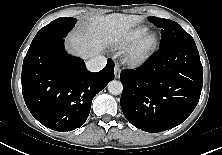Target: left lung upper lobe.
Masks as SVG:
<instances>
[{"label": "left lung upper lobe", "mask_w": 222, "mask_h": 155, "mask_svg": "<svg viewBox=\"0 0 222 155\" xmlns=\"http://www.w3.org/2000/svg\"><path fill=\"white\" fill-rule=\"evenodd\" d=\"M148 20L161 29V42L159 47H165L179 43H195L193 38L182 27L169 19L148 17Z\"/></svg>", "instance_id": "5c2ea615"}]
</instances>
